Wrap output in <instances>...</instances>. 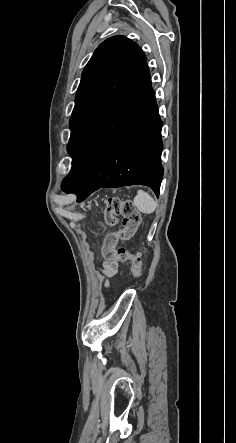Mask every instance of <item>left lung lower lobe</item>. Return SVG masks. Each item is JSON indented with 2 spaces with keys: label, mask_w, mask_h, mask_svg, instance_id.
I'll use <instances>...</instances> for the list:
<instances>
[{
  "label": "left lung lower lobe",
  "mask_w": 236,
  "mask_h": 443,
  "mask_svg": "<svg viewBox=\"0 0 236 443\" xmlns=\"http://www.w3.org/2000/svg\"><path fill=\"white\" fill-rule=\"evenodd\" d=\"M161 127L146 64L81 138L62 190L75 193L81 202L99 188L140 184L158 197L163 176Z\"/></svg>",
  "instance_id": "1"
}]
</instances>
